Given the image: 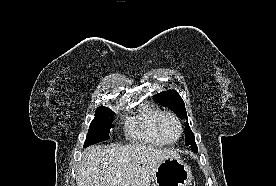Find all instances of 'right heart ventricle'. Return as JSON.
Wrapping results in <instances>:
<instances>
[{
    "label": "right heart ventricle",
    "instance_id": "e07e8e85",
    "mask_svg": "<svg viewBox=\"0 0 276 186\" xmlns=\"http://www.w3.org/2000/svg\"><path fill=\"white\" fill-rule=\"evenodd\" d=\"M162 111L158 108L146 107L126 125L127 134L138 141L152 146L163 147L167 143L157 132V121Z\"/></svg>",
    "mask_w": 276,
    "mask_h": 186
}]
</instances>
